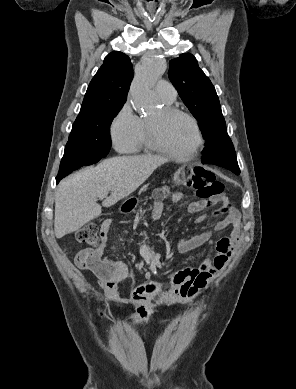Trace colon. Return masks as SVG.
Wrapping results in <instances>:
<instances>
[{"label": "colon", "mask_w": 296, "mask_h": 389, "mask_svg": "<svg viewBox=\"0 0 296 389\" xmlns=\"http://www.w3.org/2000/svg\"><path fill=\"white\" fill-rule=\"evenodd\" d=\"M174 181L179 186L192 188L196 196L209 205L221 202L223 199L224 185L211 171L202 167H182L175 172ZM100 236L102 232L93 222L85 224L76 232V239L89 246H96Z\"/></svg>", "instance_id": "5ec220e1"}]
</instances>
